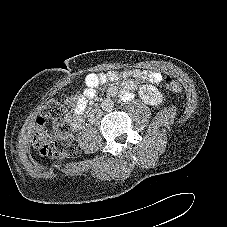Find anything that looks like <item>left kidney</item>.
<instances>
[{"label":"left kidney","instance_id":"1","mask_svg":"<svg viewBox=\"0 0 227 227\" xmlns=\"http://www.w3.org/2000/svg\"><path fill=\"white\" fill-rule=\"evenodd\" d=\"M139 96L144 103L149 105H158L163 101V95L158 88L151 84L142 85L139 87Z\"/></svg>","mask_w":227,"mask_h":227}]
</instances>
